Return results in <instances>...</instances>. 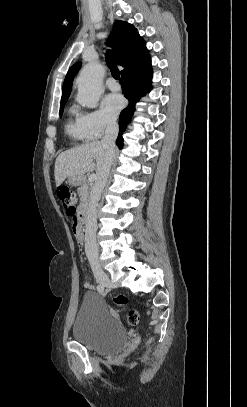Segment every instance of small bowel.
Segmentation results:
<instances>
[{
	"mask_svg": "<svg viewBox=\"0 0 247 407\" xmlns=\"http://www.w3.org/2000/svg\"><path fill=\"white\" fill-rule=\"evenodd\" d=\"M73 232H74V235L76 237L78 244L81 246L82 245V231L77 223H74V225H73ZM83 285L87 289L93 288V286L91 285V283L88 280H85Z\"/></svg>",
	"mask_w": 247,
	"mask_h": 407,
	"instance_id": "obj_1",
	"label": "small bowel"
}]
</instances>
